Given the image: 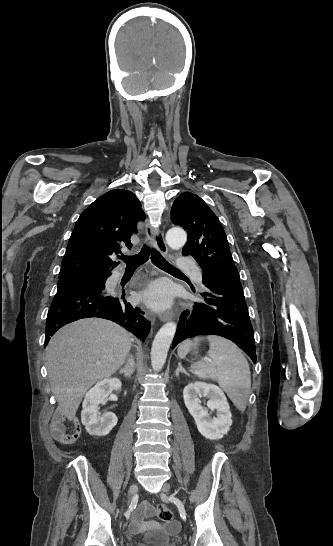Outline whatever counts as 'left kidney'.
<instances>
[{"label":"left kidney","mask_w":333,"mask_h":546,"mask_svg":"<svg viewBox=\"0 0 333 546\" xmlns=\"http://www.w3.org/2000/svg\"><path fill=\"white\" fill-rule=\"evenodd\" d=\"M183 398L190 414L195 419L197 429L207 439H221L232 425L230 406L224 392L214 384L195 382L187 385ZM200 398H207V406L216 411L211 417L208 409L201 405Z\"/></svg>","instance_id":"obj_1"}]
</instances>
